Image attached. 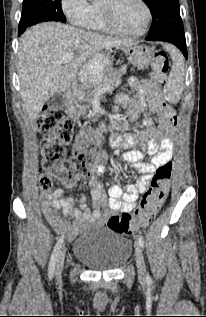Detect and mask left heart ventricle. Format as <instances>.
<instances>
[{
  "label": "left heart ventricle",
  "instance_id": "b2bd125f",
  "mask_svg": "<svg viewBox=\"0 0 206 317\" xmlns=\"http://www.w3.org/2000/svg\"><path fill=\"white\" fill-rule=\"evenodd\" d=\"M109 4L113 11L116 26L125 33L140 31L145 23V11L137 0H103L101 5Z\"/></svg>",
  "mask_w": 206,
  "mask_h": 317
}]
</instances>
